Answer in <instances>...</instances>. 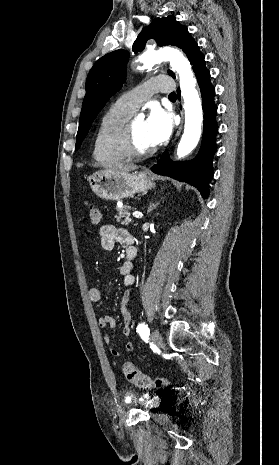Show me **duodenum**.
I'll use <instances>...</instances> for the list:
<instances>
[{
  "mask_svg": "<svg viewBox=\"0 0 279 465\" xmlns=\"http://www.w3.org/2000/svg\"><path fill=\"white\" fill-rule=\"evenodd\" d=\"M126 256L128 260H132L136 256V251L133 248H128L126 251Z\"/></svg>",
  "mask_w": 279,
  "mask_h": 465,
  "instance_id": "1",
  "label": "duodenum"
}]
</instances>
